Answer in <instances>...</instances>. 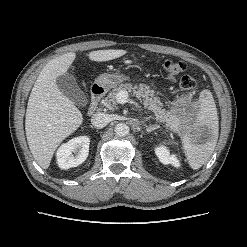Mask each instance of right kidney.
Returning <instances> with one entry per match:
<instances>
[{
  "instance_id": "1",
  "label": "right kidney",
  "mask_w": 247,
  "mask_h": 247,
  "mask_svg": "<svg viewBox=\"0 0 247 247\" xmlns=\"http://www.w3.org/2000/svg\"><path fill=\"white\" fill-rule=\"evenodd\" d=\"M90 139L79 136L64 143L57 150V164L61 169H69L82 164L89 154Z\"/></svg>"
}]
</instances>
